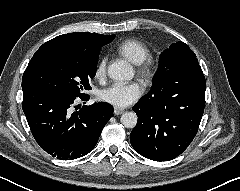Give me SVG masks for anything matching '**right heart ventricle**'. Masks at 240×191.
Masks as SVG:
<instances>
[{
	"mask_svg": "<svg viewBox=\"0 0 240 191\" xmlns=\"http://www.w3.org/2000/svg\"><path fill=\"white\" fill-rule=\"evenodd\" d=\"M116 51L134 64H140L150 55L146 44L137 39H126L116 46Z\"/></svg>",
	"mask_w": 240,
	"mask_h": 191,
	"instance_id": "obj_1",
	"label": "right heart ventricle"
}]
</instances>
